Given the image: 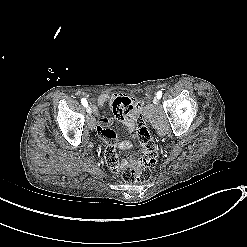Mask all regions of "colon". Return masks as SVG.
<instances>
[{
    "label": "colon",
    "mask_w": 247,
    "mask_h": 247,
    "mask_svg": "<svg viewBox=\"0 0 247 247\" xmlns=\"http://www.w3.org/2000/svg\"><path fill=\"white\" fill-rule=\"evenodd\" d=\"M137 138L140 149L125 160V171L121 178L126 183H144L150 180L152 168L159 160L158 145L146 127L143 116L137 123Z\"/></svg>",
    "instance_id": "colon-1"
}]
</instances>
